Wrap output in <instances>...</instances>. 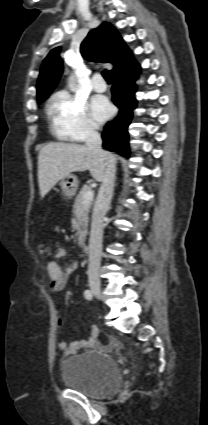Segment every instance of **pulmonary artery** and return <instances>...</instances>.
Returning a JSON list of instances; mask_svg holds the SVG:
<instances>
[{
    "label": "pulmonary artery",
    "mask_w": 208,
    "mask_h": 425,
    "mask_svg": "<svg viewBox=\"0 0 208 425\" xmlns=\"http://www.w3.org/2000/svg\"><path fill=\"white\" fill-rule=\"evenodd\" d=\"M92 88L97 92H104L107 89V85L103 80L102 76L98 73L94 74L91 79Z\"/></svg>",
    "instance_id": "obj_1"
}]
</instances>
